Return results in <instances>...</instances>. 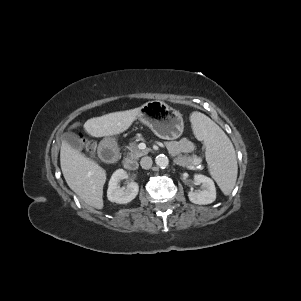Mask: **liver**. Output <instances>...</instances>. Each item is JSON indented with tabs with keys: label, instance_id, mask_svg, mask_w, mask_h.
<instances>
[{
	"label": "liver",
	"instance_id": "obj_1",
	"mask_svg": "<svg viewBox=\"0 0 301 301\" xmlns=\"http://www.w3.org/2000/svg\"><path fill=\"white\" fill-rule=\"evenodd\" d=\"M140 114L139 108L113 112L88 119L84 129L93 137L118 135L126 131ZM79 124L73 125L76 128ZM60 164L68 186L86 204L103 208V186L106 172L96 162L71 148L66 141L61 144Z\"/></svg>",
	"mask_w": 301,
	"mask_h": 301
}]
</instances>
